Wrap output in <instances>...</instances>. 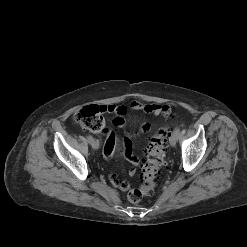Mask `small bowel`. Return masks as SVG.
I'll list each match as a JSON object with an SVG mask.
<instances>
[{
  "instance_id": "obj_1",
  "label": "small bowel",
  "mask_w": 247,
  "mask_h": 247,
  "mask_svg": "<svg viewBox=\"0 0 247 247\" xmlns=\"http://www.w3.org/2000/svg\"><path fill=\"white\" fill-rule=\"evenodd\" d=\"M104 107L106 109V112L113 113L116 115L113 119V125L119 128L125 125L124 115L129 109L134 111H143L154 116L163 115L167 117L171 113V107L167 104L143 103L139 101H133L127 106L106 105ZM151 129L152 124L145 122L137 128L136 133H146L151 131ZM103 132L107 135V139L103 148V155L105 159L109 160L117 149V138L111 130L106 129L103 130ZM124 146L125 149L122 152V154L131 163V167L129 168V174L134 175L136 173V167L139 165L141 160L138 156H135L132 153L130 134H128L125 137ZM109 179L113 186L119 188L122 191H127L130 188V183L127 180H120L115 173H111L109 175Z\"/></svg>"
}]
</instances>
